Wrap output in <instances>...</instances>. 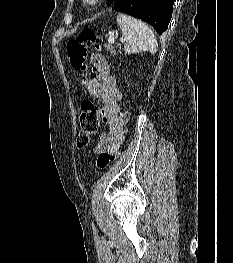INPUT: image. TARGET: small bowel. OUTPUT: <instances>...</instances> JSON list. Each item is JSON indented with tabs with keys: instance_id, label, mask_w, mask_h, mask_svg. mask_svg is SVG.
I'll return each instance as SVG.
<instances>
[{
	"instance_id": "small-bowel-1",
	"label": "small bowel",
	"mask_w": 233,
	"mask_h": 263,
	"mask_svg": "<svg viewBox=\"0 0 233 263\" xmlns=\"http://www.w3.org/2000/svg\"><path fill=\"white\" fill-rule=\"evenodd\" d=\"M90 62L95 75L81 77L80 83L91 96L102 101L101 115L107 125L106 131L101 134L96 152L100 154L118 152L126 138L124 122L119 114L122 94L116 79L109 74V64L106 58L100 53H93Z\"/></svg>"
}]
</instances>
